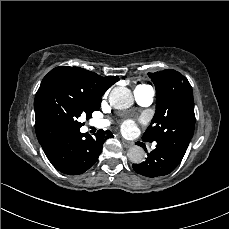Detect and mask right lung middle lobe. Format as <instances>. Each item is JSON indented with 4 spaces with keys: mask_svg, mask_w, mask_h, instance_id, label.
Instances as JSON below:
<instances>
[{
    "mask_svg": "<svg viewBox=\"0 0 229 229\" xmlns=\"http://www.w3.org/2000/svg\"><path fill=\"white\" fill-rule=\"evenodd\" d=\"M101 99L88 96L71 80L52 77L42 81L35 96L36 135L40 142L51 144L62 136L79 130L86 119L99 110Z\"/></svg>",
    "mask_w": 229,
    "mask_h": 229,
    "instance_id": "right-lung-middle-lobe-1",
    "label": "right lung middle lobe"
}]
</instances>
